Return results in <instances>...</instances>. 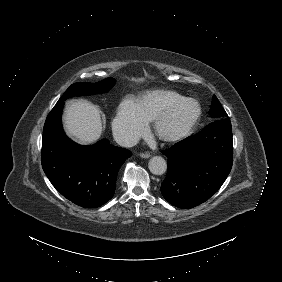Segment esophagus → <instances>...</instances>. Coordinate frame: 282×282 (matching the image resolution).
<instances>
[{
    "label": "esophagus",
    "mask_w": 282,
    "mask_h": 282,
    "mask_svg": "<svg viewBox=\"0 0 282 282\" xmlns=\"http://www.w3.org/2000/svg\"><path fill=\"white\" fill-rule=\"evenodd\" d=\"M139 156L141 157V158H149L151 155H150V153H140L139 154Z\"/></svg>",
    "instance_id": "esophagus-1"
}]
</instances>
